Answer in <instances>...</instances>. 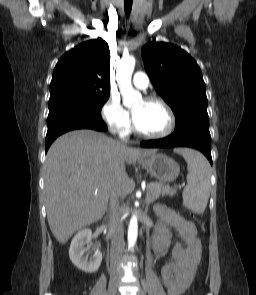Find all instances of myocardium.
I'll use <instances>...</instances> for the list:
<instances>
[{
	"label": "myocardium",
	"mask_w": 256,
	"mask_h": 295,
	"mask_svg": "<svg viewBox=\"0 0 256 295\" xmlns=\"http://www.w3.org/2000/svg\"><path fill=\"white\" fill-rule=\"evenodd\" d=\"M145 102L147 103H156L158 105H160L167 113L168 116V124L165 130H163L160 133H145L142 132L135 124V121H133V130L134 132L142 137V138H146V139H162V138H166L167 136H169L174 128H175V116L173 113V110L171 109V107L167 104L166 101H164L162 98L156 97V96H149L146 97L144 99Z\"/></svg>",
	"instance_id": "obj_1"
}]
</instances>
